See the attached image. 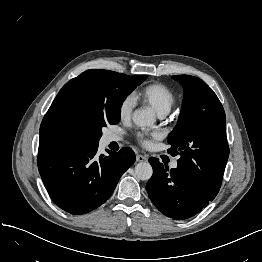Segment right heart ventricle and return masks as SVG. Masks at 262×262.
Masks as SVG:
<instances>
[{"label":"right heart ventricle","mask_w":262,"mask_h":262,"mask_svg":"<svg viewBox=\"0 0 262 262\" xmlns=\"http://www.w3.org/2000/svg\"><path fill=\"white\" fill-rule=\"evenodd\" d=\"M136 96L151 105L159 115L167 114L176 102L173 91L162 83L146 85Z\"/></svg>","instance_id":"1"}]
</instances>
